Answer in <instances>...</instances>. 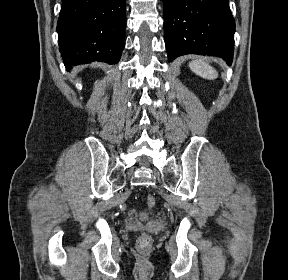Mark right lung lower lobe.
Returning a JSON list of instances; mask_svg holds the SVG:
<instances>
[{
    "instance_id": "98d812e1",
    "label": "right lung lower lobe",
    "mask_w": 288,
    "mask_h": 280,
    "mask_svg": "<svg viewBox=\"0 0 288 280\" xmlns=\"http://www.w3.org/2000/svg\"><path fill=\"white\" fill-rule=\"evenodd\" d=\"M126 0H62L57 32L69 71L93 61L116 64L124 49Z\"/></svg>"
}]
</instances>
